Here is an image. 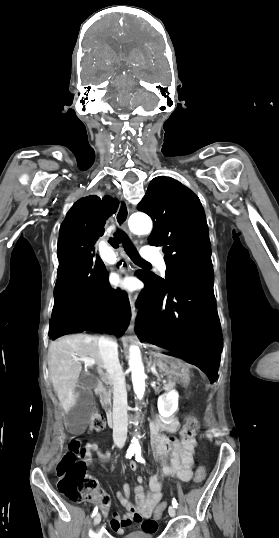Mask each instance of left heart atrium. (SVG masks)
Instances as JSON below:
<instances>
[{"mask_svg":"<svg viewBox=\"0 0 279 538\" xmlns=\"http://www.w3.org/2000/svg\"><path fill=\"white\" fill-rule=\"evenodd\" d=\"M110 283L117 291L130 292L135 288V279L131 276H125L114 273L110 277Z\"/></svg>","mask_w":279,"mask_h":538,"instance_id":"1","label":"left heart atrium"}]
</instances>
